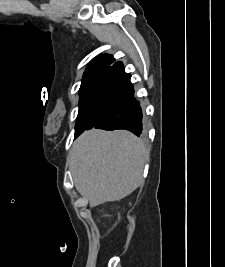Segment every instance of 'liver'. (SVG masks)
<instances>
[{
	"label": "liver",
	"mask_w": 225,
	"mask_h": 267,
	"mask_svg": "<svg viewBox=\"0 0 225 267\" xmlns=\"http://www.w3.org/2000/svg\"><path fill=\"white\" fill-rule=\"evenodd\" d=\"M148 157L146 146L132 133L92 129L74 142L69 166L76 189L96 207L136 190Z\"/></svg>",
	"instance_id": "1"
}]
</instances>
